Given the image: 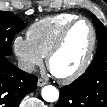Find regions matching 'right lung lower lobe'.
Here are the masks:
<instances>
[{
  "instance_id": "1",
  "label": "right lung lower lobe",
  "mask_w": 107,
  "mask_h": 107,
  "mask_svg": "<svg viewBox=\"0 0 107 107\" xmlns=\"http://www.w3.org/2000/svg\"><path fill=\"white\" fill-rule=\"evenodd\" d=\"M36 86L35 75L18 69L0 55V107H18L21 99Z\"/></svg>"
}]
</instances>
